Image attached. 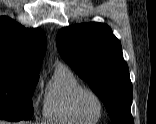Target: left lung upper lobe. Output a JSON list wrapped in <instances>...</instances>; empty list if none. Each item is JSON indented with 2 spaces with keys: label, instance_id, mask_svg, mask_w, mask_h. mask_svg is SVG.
Segmentation results:
<instances>
[{
  "label": "left lung upper lobe",
  "instance_id": "left-lung-upper-lobe-1",
  "mask_svg": "<svg viewBox=\"0 0 156 124\" xmlns=\"http://www.w3.org/2000/svg\"><path fill=\"white\" fill-rule=\"evenodd\" d=\"M56 44L61 57L103 101L112 124H134L129 70L111 28L95 22L65 27Z\"/></svg>",
  "mask_w": 156,
  "mask_h": 124
}]
</instances>
